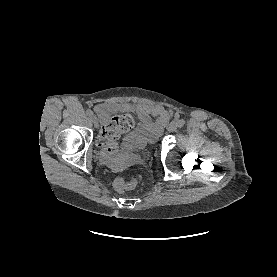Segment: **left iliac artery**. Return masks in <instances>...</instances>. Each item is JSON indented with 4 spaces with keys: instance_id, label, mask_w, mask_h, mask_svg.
I'll return each mask as SVG.
<instances>
[{
    "instance_id": "obj_1",
    "label": "left iliac artery",
    "mask_w": 277,
    "mask_h": 277,
    "mask_svg": "<svg viewBox=\"0 0 277 277\" xmlns=\"http://www.w3.org/2000/svg\"><path fill=\"white\" fill-rule=\"evenodd\" d=\"M178 127H183L185 124V121L183 119L178 120Z\"/></svg>"
}]
</instances>
